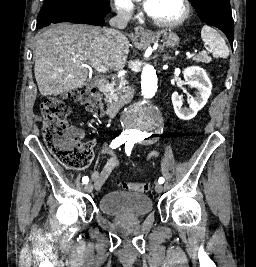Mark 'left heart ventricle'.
<instances>
[{
    "label": "left heart ventricle",
    "instance_id": "1",
    "mask_svg": "<svg viewBox=\"0 0 256 267\" xmlns=\"http://www.w3.org/2000/svg\"><path fill=\"white\" fill-rule=\"evenodd\" d=\"M180 15L181 10L179 9V7L174 5L173 3H169L161 16V21L165 25L177 19Z\"/></svg>",
    "mask_w": 256,
    "mask_h": 267
}]
</instances>
